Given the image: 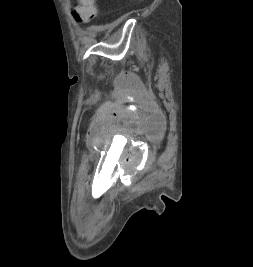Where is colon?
Here are the masks:
<instances>
[{"instance_id": "obj_1", "label": "colon", "mask_w": 253, "mask_h": 267, "mask_svg": "<svg viewBox=\"0 0 253 267\" xmlns=\"http://www.w3.org/2000/svg\"><path fill=\"white\" fill-rule=\"evenodd\" d=\"M79 5L72 9V14L81 23L92 21L97 15L95 0H78Z\"/></svg>"}]
</instances>
